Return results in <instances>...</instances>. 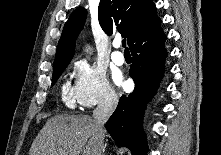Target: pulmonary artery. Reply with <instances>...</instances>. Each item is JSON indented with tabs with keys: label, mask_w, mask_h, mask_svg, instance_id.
<instances>
[{
	"label": "pulmonary artery",
	"mask_w": 221,
	"mask_h": 155,
	"mask_svg": "<svg viewBox=\"0 0 221 155\" xmlns=\"http://www.w3.org/2000/svg\"><path fill=\"white\" fill-rule=\"evenodd\" d=\"M113 47L118 49L120 47V41H118V40L114 41ZM111 59L116 65H123L125 63L124 55L118 50H115L111 54Z\"/></svg>",
	"instance_id": "pulmonary-artery-1"
}]
</instances>
